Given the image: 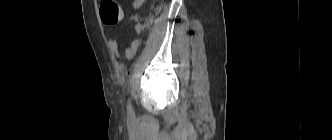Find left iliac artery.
Instances as JSON below:
<instances>
[{
    "label": "left iliac artery",
    "mask_w": 332,
    "mask_h": 140,
    "mask_svg": "<svg viewBox=\"0 0 332 140\" xmlns=\"http://www.w3.org/2000/svg\"><path fill=\"white\" fill-rule=\"evenodd\" d=\"M127 109H128L129 113H131V114L134 113L130 99L128 100V103H127Z\"/></svg>",
    "instance_id": "1"
}]
</instances>
